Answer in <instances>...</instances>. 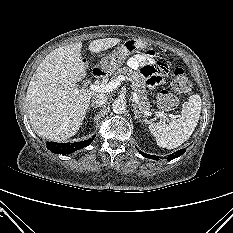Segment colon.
<instances>
[{"instance_id":"colon-1","label":"colon","mask_w":233,"mask_h":233,"mask_svg":"<svg viewBox=\"0 0 233 233\" xmlns=\"http://www.w3.org/2000/svg\"><path fill=\"white\" fill-rule=\"evenodd\" d=\"M190 81L182 68L173 72L171 87L177 93H185L190 89ZM157 104L162 110H172L178 105L177 98L168 91H162L157 98Z\"/></svg>"}]
</instances>
